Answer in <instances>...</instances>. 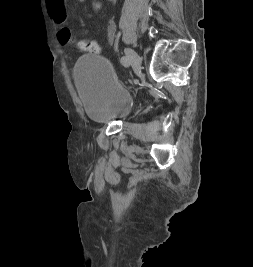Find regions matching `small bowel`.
<instances>
[{
  "instance_id": "small-bowel-1",
  "label": "small bowel",
  "mask_w": 253,
  "mask_h": 267,
  "mask_svg": "<svg viewBox=\"0 0 253 267\" xmlns=\"http://www.w3.org/2000/svg\"><path fill=\"white\" fill-rule=\"evenodd\" d=\"M79 3L85 0H77ZM48 11L53 21L58 25H65L68 20L67 11L65 7V0H46ZM108 41L113 43L116 35V24L110 21L106 30Z\"/></svg>"
}]
</instances>
